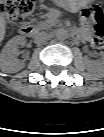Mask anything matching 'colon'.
<instances>
[{
	"label": "colon",
	"mask_w": 104,
	"mask_h": 137,
	"mask_svg": "<svg viewBox=\"0 0 104 137\" xmlns=\"http://www.w3.org/2000/svg\"><path fill=\"white\" fill-rule=\"evenodd\" d=\"M0 9L3 15L15 23L29 21L34 10L35 0H2ZM82 19L93 24L91 42L94 47H102L104 42V14L97 6L83 9Z\"/></svg>",
	"instance_id": "obj_1"
}]
</instances>
